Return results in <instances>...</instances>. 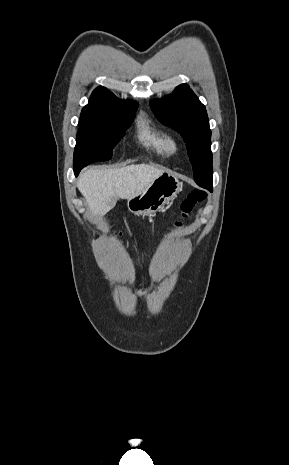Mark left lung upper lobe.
<instances>
[{
	"label": "left lung upper lobe",
	"instance_id": "5c2ea615",
	"mask_svg": "<svg viewBox=\"0 0 289 465\" xmlns=\"http://www.w3.org/2000/svg\"><path fill=\"white\" fill-rule=\"evenodd\" d=\"M161 122L178 131L187 144L195 182L212 190L211 130L205 106L187 84L159 100L150 102Z\"/></svg>",
	"mask_w": 289,
	"mask_h": 465
}]
</instances>
